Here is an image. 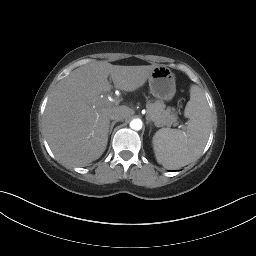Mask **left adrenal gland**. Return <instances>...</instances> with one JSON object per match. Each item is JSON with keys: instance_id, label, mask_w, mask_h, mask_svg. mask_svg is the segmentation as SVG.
Instances as JSON below:
<instances>
[{"instance_id": "1", "label": "left adrenal gland", "mask_w": 256, "mask_h": 256, "mask_svg": "<svg viewBox=\"0 0 256 256\" xmlns=\"http://www.w3.org/2000/svg\"><path fill=\"white\" fill-rule=\"evenodd\" d=\"M147 124H149V120H147ZM151 129H152V126H151ZM151 129H150V132H151ZM150 132H149V134H150Z\"/></svg>"}]
</instances>
